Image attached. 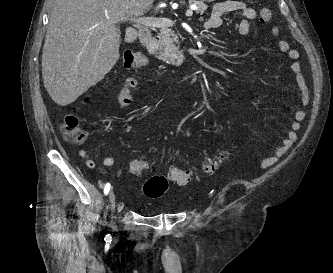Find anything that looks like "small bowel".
Segmentation results:
<instances>
[{
	"label": "small bowel",
	"instance_id": "obj_1",
	"mask_svg": "<svg viewBox=\"0 0 333 273\" xmlns=\"http://www.w3.org/2000/svg\"><path fill=\"white\" fill-rule=\"evenodd\" d=\"M230 12H236L240 16L236 26V32L241 36L249 35L251 31L250 23L257 18V11L245 5L241 0H224L222 2L216 3L210 18L205 23V28H219L222 25L223 16ZM273 33L277 35V29H273ZM278 49L280 52L286 54L291 60H297L299 58L298 51L291 49L287 41L280 40L278 42ZM141 68H147V63H141ZM291 70L299 90V107L295 111L294 119L291 122L290 130L288 131L286 137L273 148L270 156L263 161V167L271 166L277 163L280 158L289 150V148L297 141V131L301 128L302 121L306 117V111L304 110V107L309 103V93L305 83V78L298 62L291 64ZM247 88L250 89L249 87ZM129 91H136V82L132 78L128 79L126 84H122V88L118 94V101L123 107L129 106L132 102ZM79 154L84 160L86 166H94L93 159L87 154L85 150H80ZM114 163L115 157L112 155L106 156L102 160V164L107 167L114 165Z\"/></svg>",
	"mask_w": 333,
	"mask_h": 273
}]
</instances>
